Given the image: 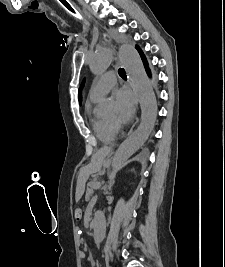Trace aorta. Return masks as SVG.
<instances>
[{
  "mask_svg": "<svg viewBox=\"0 0 225 267\" xmlns=\"http://www.w3.org/2000/svg\"><path fill=\"white\" fill-rule=\"evenodd\" d=\"M119 59L127 72L130 84L139 98L141 105V122L137 130L129 136L116 151L112 169L119 170L123 164L144 144L157 118V102L152 86L145 73L139 53L133 45L123 44L119 48ZM112 55L108 48H102L90 60L89 66L94 74L104 73L111 65ZM110 101L101 102L102 107H107ZM94 241L99 243L105 235V216L100 210L94 214Z\"/></svg>",
  "mask_w": 225,
  "mask_h": 267,
  "instance_id": "762f6f07",
  "label": "aorta"
}]
</instances>
